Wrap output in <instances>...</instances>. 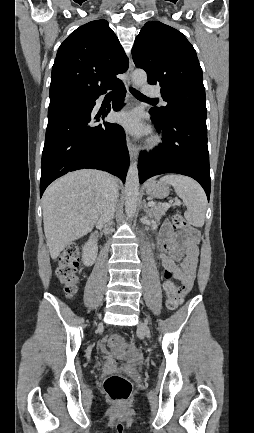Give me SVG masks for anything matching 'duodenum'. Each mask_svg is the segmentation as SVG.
I'll list each match as a JSON object with an SVG mask.
<instances>
[{
	"label": "duodenum",
	"instance_id": "obj_1",
	"mask_svg": "<svg viewBox=\"0 0 254 433\" xmlns=\"http://www.w3.org/2000/svg\"><path fill=\"white\" fill-rule=\"evenodd\" d=\"M97 239H98V234H97V233H94V234L91 235V240H92L93 242H96Z\"/></svg>",
	"mask_w": 254,
	"mask_h": 433
}]
</instances>
